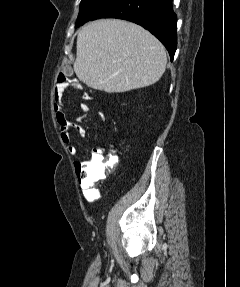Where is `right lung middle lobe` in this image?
<instances>
[{
	"instance_id": "1",
	"label": "right lung middle lobe",
	"mask_w": 240,
	"mask_h": 287,
	"mask_svg": "<svg viewBox=\"0 0 240 287\" xmlns=\"http://www.w3.org/2000/svg\"><path fill=\"white\" fill-rule=\"evenodd\" d=\"M108 0H82L75 28L91 20Z\"/></svg>"
}]
</instances>
